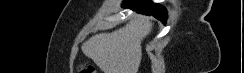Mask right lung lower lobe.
<instances>
[{
	"label": "right lung lower lobe",
	"mask_w": 244,
	"mask_h": 73,
	"mask_svg": "<svg viewBox=\"0 0 244 73\" xmlns=\"http://www.w3.org/2000/svg\"><path fill=\"white\" fill-rule=\"evenodd\" d=\"M124 7L138 8V12L146 15H153L164 24L167 20V13L164 7L153 4L150 0H125Z\"/></svg>",
	"instance_id": "obj_1"
}]
</instances>
